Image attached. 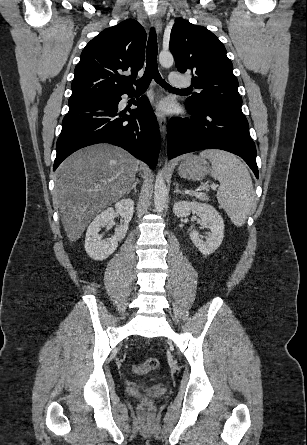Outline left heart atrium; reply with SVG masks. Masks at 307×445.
Masks as SVG:
<instances>
[{
    "instance_id": "39dd6f15",
    "label": "left heart atrium",
    "mask_w": 307,
    "mask_h": 445,
    "mask_svg": "<svg viewBox=\"0 0 307 445\" xmlns=\"http://www.w3.org/2000/svg\"><path fill=\"white\" fill-rule=\"evenodd\" d=\"M168 108H169V106H168V104H167L166 102H161V103L158 105V109H159L160 111H162V112H166V111L168 110Z\"/></svg>"
}]
</instances>
